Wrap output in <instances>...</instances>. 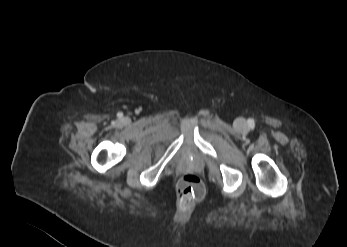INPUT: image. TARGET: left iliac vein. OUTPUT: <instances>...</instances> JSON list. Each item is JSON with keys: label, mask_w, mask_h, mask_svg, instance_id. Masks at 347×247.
<instances>
[{"label": "left iliac vein", "mask_w": 347, "mask_h": 247, "mask_svg": "<svg viewBox=\"0 0 347 247\" xmlns=\"http://www.w3.org/2000/svg\"><path fill=\"white\" fill-rule=\"evenodd\" d=\"M245 124H246V121H245V119H243V118H238V119H236V121H235V126H236L237 128H242V127L245 126Z\"/></svg>", "instance_id": "left-iliac-vein-1"}]
</instances>
